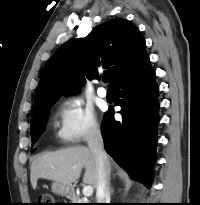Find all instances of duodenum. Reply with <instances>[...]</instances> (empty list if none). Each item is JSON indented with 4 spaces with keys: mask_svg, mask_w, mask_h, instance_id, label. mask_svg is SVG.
I'll list each match as a JSON object with an SVG mask.
<instances>
[{
    "mask_svg": "<svg viewBox=\"0 0 200 205\" xmlns=\"http://www.w3.org/2000/svg\"><path fill=\"white\" fill-rule=\"evenodd\" d=\"M69 194L72 196L74 193L72 190L69 191Z\"/></svg>",
    "mask_w": 200,
    "mask_h": 205,
    "instance_id": "1",
    "label": "duodenum"
}]
</instances>
